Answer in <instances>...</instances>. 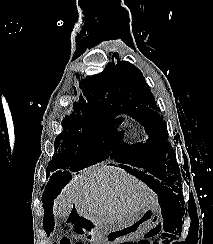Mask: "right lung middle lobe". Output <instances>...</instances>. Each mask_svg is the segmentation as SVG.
Listing matches in <instances>:
<instances>
[{
	"mask_svg": "<svg viewBox=\"0 0 213 244\" xmlns=\"http://www.w3.org/2000/svg\"><path fill=\"white\" fill-rule=\"evenodd\" d=\"M110 119V113L107 112L74 109V112L62 121L63 131L55 141L58 153L53 155L48 164V172L66 167L79 170L108 157L121 160L114 155L115 150L122 146L116 144L115 140L112 141Z\"/></svg>",
	"mask_w": 213,
	"mask_h": 244,
	"instance_id": "right-lung-middle-lobe-1",
	"label": "right lung middle lobe"
}]
</instances>
